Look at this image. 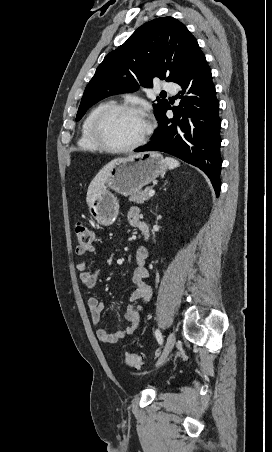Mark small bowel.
<instances>
[{"label":"small bowel","mask_w":272,"mask_h":452,"mask_svg":"<svg viewBox=\"0 0 272 452\" xmlns=\"http://www.w3.org/2000/svg\"><path fill=\"white\" fill-rule=\"evenodd\" d=\"M140 220V209L132 206L128 210V221L131 226L137 227ZM148 256L146 248L140 247L136 251L135 261L136 268L132 275L133 290L130 294L131 304L128 306L125 313L126 325L115 332H108L100 327L101 312L103 310V303L97 297H90L87 301V307L91 315L92 323L97 327L96 336L101 342L117 343L122 338L132 335L140 325V314L143 310L142 306H135L133 303L138 300L148 302L152 296V290L146 283L148 278V270L145 267V262ZM79 271V280L87 288H93L99 277V270L91 271L84 262L76 265Z\"/></svg>","instance_id":"1"}]
</instances>
